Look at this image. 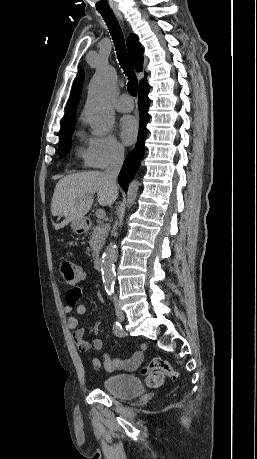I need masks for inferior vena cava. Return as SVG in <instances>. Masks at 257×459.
Here are the masks:
<instances>
[{
	"label": "inferior vena cava",
	"mask_w": 257,
	"mask_h": 459,
	"mask_svg": "<svg viewBox=\"0 0 257 459\" xmlns=\"http://www.w3.org/2000/svg\"><path fill=\"white\" fill-rule=\"evenodd\" d=\"M124 161V149L116 148L111 156L110 166L105 171V175L108 178L113 189L117 190V178L121 170ZM115 305H118L117 298L114 297Z\"/></svg>",
	"instance_id": "obj_1"
}]
</instances>
